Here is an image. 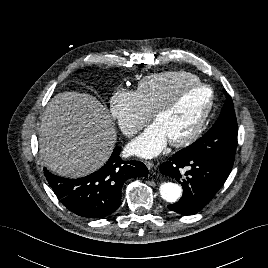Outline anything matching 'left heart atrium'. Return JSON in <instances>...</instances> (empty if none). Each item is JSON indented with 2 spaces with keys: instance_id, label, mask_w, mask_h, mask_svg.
I'll use <instances>...</instances> for the list:
<instances>
[{
  "instance_id": "1",
  "label": "left heart atrium",
  "mask_w": 268,
  "mask_h": 268,
  "mask_svg": "<svg viewBox=\"0 0 268 268\" xmlns=\"http://www.w3.org/2000/svg\"><path fill=\"white\" fill-rule=\"evenodd\" d=\"M167 142L168 139L161 127L154 123L147 126L141 135L128 145L127 151L142 158H151L159 154Z\"/></svg>"
}]
</instances>
